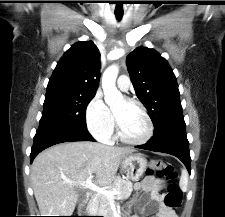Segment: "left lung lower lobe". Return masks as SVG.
<instances>
[{"label": "left lung lower lobe", "mask_w": 225, "mask_h": 217, "mask_svg": "<svg viewBox=\"0 0 225 217\" xmlns=\"http://www.w3.org/2000/svg\"><path fill=\"white\" fill-rule=\"evenodd\" d=\"M137 148L174 155L184 163L190 173L191 158L185 123L171 125L154 133L146 144Z\"/></svg>", "instance_id": "0a47b994"}]
</instances>
